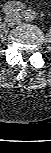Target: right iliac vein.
Segmentation results:
<instances>
[{
	"label": "right iliac vein",
	"instance_id": "right-iliac-vein-1",
	"mask_svg": "<svg viewBox=\"0 0 51 153\" xmlns=\"http://www.w3.org/2000/svg\"><path fill=\"white\" fill-rule=\"evenodd\" d=\"M15 21H16V18L13 15H8L4 19L5 25L8 26V27L13 26Z\"/></svg>",
	"mask_w": 51,
	"mask_h": 153
}]
</instances>
